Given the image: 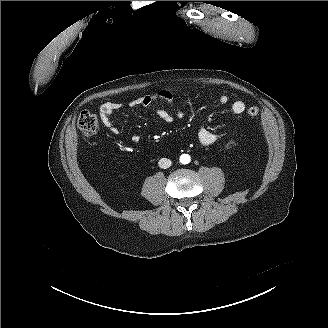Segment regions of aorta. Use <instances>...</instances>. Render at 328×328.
<instances>
[{"instance_id":"aorta-1","label":"aorta","mask_w":328,"mask_h":328,"mask_svg":"<svg viewBox=\"0 0 328 328\" xmlns=\"http://www.w3.org/2000/svg\"><path fill=\"white\" fill-rule=\"evenodd\" d=\"M190 160H191V158H190V156L188 154H182L180 156V162L182 164H188L190 162Z\"/></svg>"}]
</instances>
